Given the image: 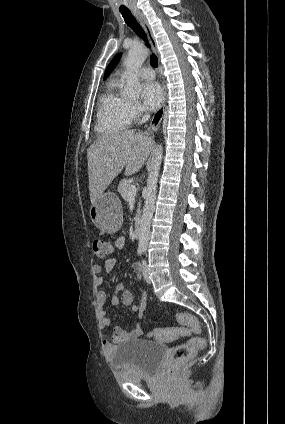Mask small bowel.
I'll return each mask as SVG.
<instances>
[{"mask_svg": "<svg viewBox=\"0 0 285 424\" xmlns=\"http://www.w3.org/2000/svg\"><path fill=\"white\" fill-rule=\"evenodd\" d=\"M125 244H126V240L124 237H119L116 239L115 248L117 249L119 254L124 250ZM117 263H118V257H112L105 261L104 267L100 265L94 266V272L97 275V288H98L97 289V304L99 306L100 313H101V323L104 327H108L111 323V320L107 316L105 311V307L108 302V296L103 288L102 272L103 270L106 273L112 272L114 268L116 267ZM132 270L135 273H137V278L139 281H141V276L139 274L141 270L140 263L138 262L133 263ZM146 300H147V295H146V292L143 291L141 302L138 304L132 305L133 294L128 289H126L122 284H118L115 287L113 294L110 297V303L113 306H118L119 304H123L125 306L132 305V310L136 313L137 317L140 319L144 316V313H145ZM142 333H143V330L139 323H136L130 331H127L120 326H116L112 330L111 338H105L102 341V350L105 355L110 356L113 354L114 350L116 349L118 345L128 340L138 338L139 336L142 335ZM188 334H189V331L185 330L184 336Z\"/></svg>", "mask_w": 285, "mask_h": 424, "instance_id": "c3829d8e", "label": "small bowel"}]
</instances>
